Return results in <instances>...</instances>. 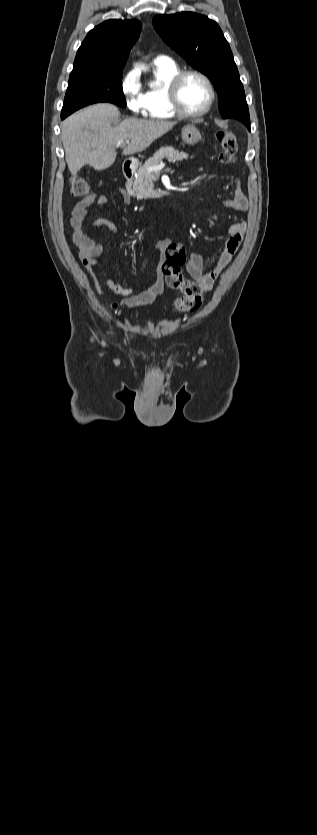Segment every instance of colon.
Returning <instances> with one entry per match:
<instances>
[{
  "label": "colon",
  "mask_w": 317,
  "mask_h": 835,
  "mask_svg": "<svg viewBox=\"0 0 317 835\" xmlns=\"http://www.w3.org/2000/svg\"><path fill=\"white\" fill-rule=\"evenodd\" d=\"M217 139L221 144L220 159L226 164L235 161L237 151V140L235 135L228 130L217 132ZM90 184L82 177H77L71 185V195L82 197L90 193ZM180 260L167 259L159 265V271L163 274L164 282L169 289L178 290L181 297L175 301V308L180 312L197 310L202 302L203 289L196 281L185 278L182 272Z\"/></svg>",
  "instance_id": "1"
}]
</instances>
